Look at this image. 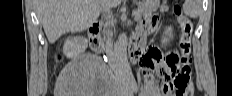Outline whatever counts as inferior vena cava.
<instances>
[{
  "label": "inferior vena cava",
  "instance_id": "inferior-vena-cava-1",
  "mask_svg": "<svg viewBox=\"0 0 232 96\" xmlns=\"http://www.w3.org/2000/svg\"><path fill=\"white\" fill-rule=\"evenodd\" d=\"M106 37H107V40H106V53L108 54L109 57H113L114 51H113V43H112L110 31H108L106 33Z\"/></svg>",
  "mask_w": 232,
  "mask_h": 96
}]
</instances>
